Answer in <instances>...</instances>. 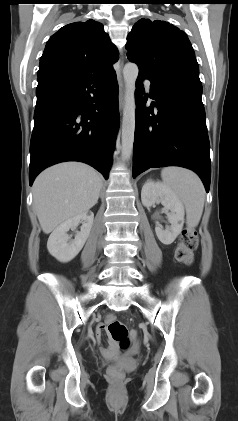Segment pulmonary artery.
Wrapping results in <instances>:
<instances>
[{
    "mask_svg": "<svg viewBox=\"0 0 238 421\" xmlns=\"http://www.w3.org/2000/svg\"><path fill=\"white\" fill-rule=\"evenodd\" d=\"M144 84L148 91H152L151 82L149 80H145Z\"/></svg>",
    "mask_w": 238,
    "mask_h": 421,
    "instance_id": "obj_1",
    "label": "pulmonary artery"
}]
</instances>
